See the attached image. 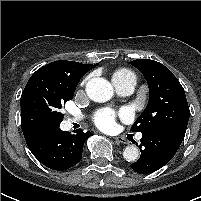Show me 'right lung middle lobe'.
I'll list each match as a JSON object with an SVG mask.
<instances>
[{
    "instance_id": "dd1d6c3e",
    "label": "right lung middle lobe",
    "mask_w": 201,
    "mask_h": 201,
    "mask_svg": "<svg viewBox=\"0 0 201 201\" xmlns=\"http://www.w3.org/2000/svg\"><path fill=\"white\" fill-rule=\"evenodd\" d=\"M80 77H69L46 66L32 74L21 99V128L41 129L59 126L62 105L72 100Z\"/></svg>"
}]
</instances>
